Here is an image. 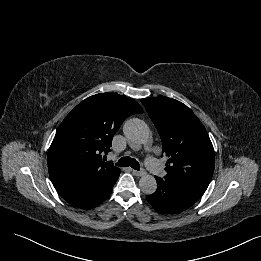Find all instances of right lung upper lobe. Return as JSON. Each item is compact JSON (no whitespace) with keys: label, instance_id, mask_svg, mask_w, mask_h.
<instances>
[{"label":"right lung upper lobe","instance_id":"right-lung-upper-lobe-1","mask_svg":"<svg viewBox=\"0 0 261 261\" xmlns=\"http://www.w3.org/2000/svg\"><path fill=\"white\" fill-rule=\"evenodd\" d=\"M141 113L132 98L100 93L83 100L65 117L48 152L51 181L65 200L98 190L120 172L102 156L111 151L123 121Z\"/></svg>","mask_w":261,"mask_h":261}]
</instances>
